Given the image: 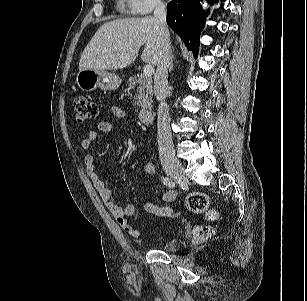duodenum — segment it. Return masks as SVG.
Here are the masks:
<instances>
[{
	"label": "duodenum",
	"mask_w": 307,
	"mask_h": 301,
	"mask_svg": "<svg viewBox=\"0 0 307 301\" xmlns=\"http://www.w3.org/2000/svg\"><path fill=\"white\" fill-rule=\"evenodd\" d=\"M154 114V107L152 104L147 103L141 106L139 110V119L143 124H149L152 121Z\"/></svg>",
	"instance_id": "obj_1"
}]
</instances>
